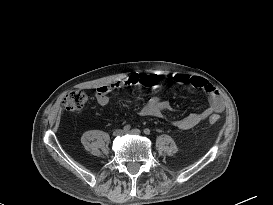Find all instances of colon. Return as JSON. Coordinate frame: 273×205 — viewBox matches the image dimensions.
Listing matches in <instances>:
<instances>
[{"label": "colon", "mask_w": 273, "mask_h": 205, "mask_svg": "<svg viewBox=\"0 0 273 205\" xmlns=\"http://www.w3.org/2000/svg\"><path fill=\"white\" fill-rule=\"evenodd\" d=\"M88 95L86 91L81 89H75L67 92L63 96V106L68 111L81 110L87 103ZM219 121L218 115H211L210 122L216 124Z\"/></svg>", "instance_id": "5ec220e1"}]
</instances>
